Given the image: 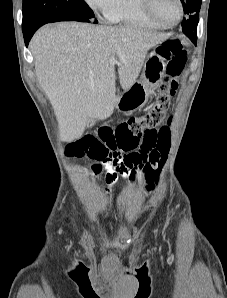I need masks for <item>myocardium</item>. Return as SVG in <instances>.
Masks as SVG:
<instances>
[{
	"instance_id": "myocardium-1",
	"label": "myocardium",
	"mask_w": 227,
	"mask_h": 298,
	"mask_svg": "<svg viewBox=\"0 0 227 298\" xmlns=\"http://www.w3.org/2000/svg\"><path fill=\"white\" fill-rule=\"evenodd\" d=\"M178 5H179V17L178 19L173 22V23H166L164 21H162L156 14L154 11V2L155 0H142V8L143 11L145 13V15L151 19L152 21H154L155 23L159 24L162 27H174L176 25H178L181 20L183 19L184 16V4L182 0H176Z\"/></svg>"
}]
</instances>
